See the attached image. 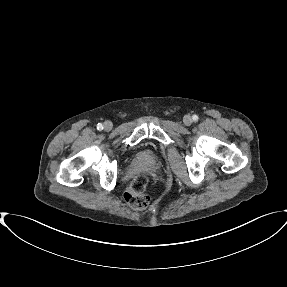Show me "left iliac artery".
<instances>
[{
    "label": "left iliac artery",
    "instance_id": "1",
    "mask_svg": "<svg viewBox=\"0 0 287 287\" xmlns=\"http://www.w3.org/2000/svg\"><path fill=\"white\" fill-rule=\"evenodd\" d=\"M192 119H193L194 122H197L198 121V116L197 115H193Z\"/></svg>",
    "mask_w": 287,
    "mask_h": 287
}]
</instances>
